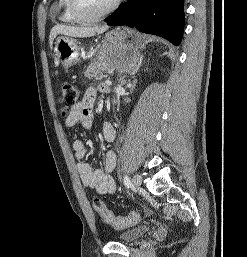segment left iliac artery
Segmentation results:
<instances>
[{
	"label": "left iliac artery",
	"mask_w": 247,
	"mask_h": 257,
	"mask_svg": "<svg viewBox=\"0 0 247 257\" xmlns=\"http://www.w3.org/2000/svg\"><path fill=\"white\" fill-rule=\"evenodd\" d=\"M124 184L127 188H130L132 186L131 180L127 175L124 176Z\"/></svg>",
	"instance_id": "obj_1"
}]
</instances>
